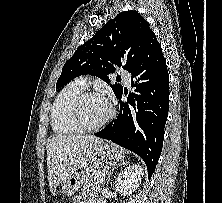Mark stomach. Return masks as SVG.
Listing matches in <instances>:
<instances>
[{"mask_svg": "<svg viewBox=\"0 0 222 203\" xmlns=\"http://www.w3.org/2000/svg\"><path fill=\"white\" fill-rule=\"evenodd\" d=\"M97 155L101 158L112 160L122 159L124 150L115 144L102 143L97 149ZM83 177L80 171H76L69 178L63 181L62 189L66 195L74 194L82 185Z\"/></svg>", "mask_w": 222, "mask_h": 203, "instance_id": "1", "label": "stomach"}]
</instances>
